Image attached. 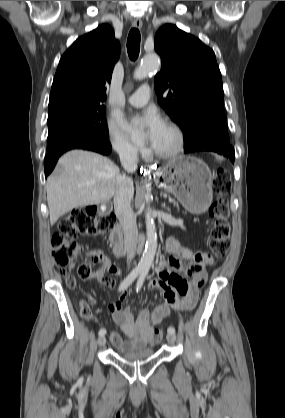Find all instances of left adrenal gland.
<instances>
[{
	"label": "left adrenal gland",
	"instance_id": "left-adrenal-gland-1",
	"mask_svg": "<svg viewBox=\"0 0 285 418\" xmlns=\"http://www.w3.org/2000/svg\"><path fill=\"white\" fill-rule=\"evenodd\" d=\"M163 207L166 208L168 211H170V209L165 206V203L163 204Z\"/></svg>",
	"mask_w": 285,
	"mask_h": 418
}]
</instances>
